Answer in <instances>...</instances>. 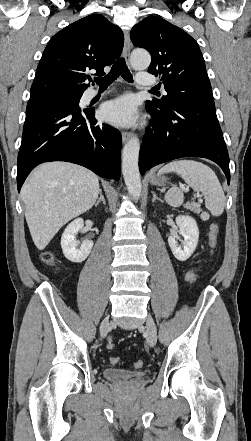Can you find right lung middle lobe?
I'll return each instance as SVG.
<instances>
[{"label": "right lung middle lobe", "mask_w": 251, "mask_h": 441, "mask_svg": "<svg viewBox=\"0 0 251 441\" xmlns=\"http://www.w3.org/2000/svg\"><path fill=\"white\" fill-rule=\"evenodd\" d=\"M82 95H67V94H59V95H54L51 96L49 98H47L48 100L54 101V102H59V103H68V104H73L75 105L77 108L78 104H79V100L81 98ZM80 109V108H79Z\"/></svg>", "instance_id": "right-lung-middle-lobe-1"}]
</instances>
